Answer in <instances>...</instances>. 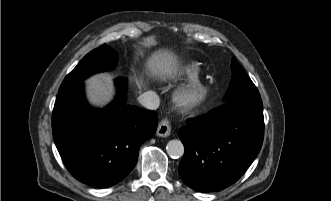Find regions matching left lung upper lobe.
Returning a JSON list of instances; mask_svg holds the SVG:
<instances>
[{
	"mask_svg": "<svg viewBox=\"0 0 331 201\" xmlns=\"http://www.w3.org/2000/svg\"><path fill=\"white\" fill-rule=\"evenodd\" d=\"M232 79L229 88L223 98L224 102H229L244 98L260 97V94L245 73L241 65L233 58L231 64Z\"/></svg>",
	"mask_w": 331,
	"mask_h": 201,
	"instance_id": "left-lung-upper-lobe-1",
	"label": "left lung upper lobe"
}]
</instances>
